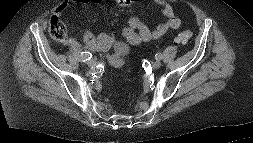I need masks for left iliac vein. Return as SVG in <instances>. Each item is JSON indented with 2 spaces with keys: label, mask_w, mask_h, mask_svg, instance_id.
Returning a JSON list of instances; mask_svg holds the SVG:
<instances>
[{
  "label": "left iliac vein",
  "mask_w": 253,
  "mask_h": 143,
  "mask_svg": "<svg viewBox=\"0 0 253 143\" xmlns=\"http://www.w3.org/2000/svg\"><path fill=\"white\" fill-rule=\"evenodd\" d=\"M152 67L154 69H158L161 67V62L160 61H155L153 64H152Z\"/></svg>",
  "instance_id": "4c4485c4"
}]
</instances>
